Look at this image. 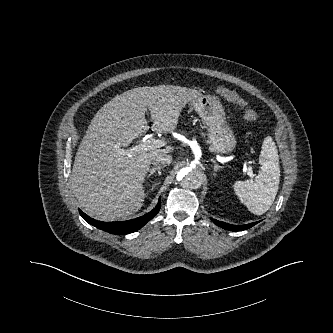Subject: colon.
Listing matches in <instances>:
<instances>
[{"label":"colon","instance_id":"obj_1","mask_svg":"<svg viewBox=\"0 0 333 333\" xmlns=\"http://www.w3.org/2000/svg\"><path fill=\"white\" fill-rule=\"evenodd\" d=\"M217 93L221 95L225 100L235 104L242 112L243 117L250 122L257 121L259 115L249 106L246 100L240 97L236 92L224 88H217Z\"/></svg>","mask_w":333,"mask_h":333}]
</instances>
